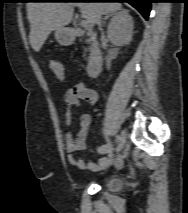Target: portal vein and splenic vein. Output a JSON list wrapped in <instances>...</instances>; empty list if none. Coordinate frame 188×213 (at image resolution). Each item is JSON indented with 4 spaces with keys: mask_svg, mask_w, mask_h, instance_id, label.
<instances>
[{
    "mask_svg": "<svg viewBox=\"0 0 188 213\" xmlns=\"http://www.w3.org/2000/svg\"><path fill=\"white\" fill-rule=\"evenodd\" d=\"M81 26L84 27V28H87L89 26V22L87 20H82L80 22Z\"/></svg>",
    "mask_w": 188,
    "mask_h": 213,
    "instance_id": "18ae733b",
    "label": "portal vein and splenic vein"
}]
</instances>
